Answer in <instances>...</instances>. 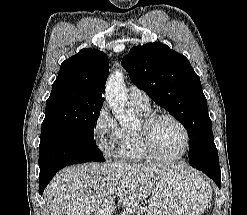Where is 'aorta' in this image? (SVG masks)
<instances>
[{
	"label": "aorta",
	"mask_w": 247,
	"mask_h": 215,
	"mask_svg": "<svg viewBox=\"0 0 247 215\" xmlns=\"http://www.w3.org/2000/svg\"><path fill=\"white\" fill-rule=\"evenodd\" d=\"M105 97L109 108L122 126H127L133 117L126 113L127 90L124 84L123 71L111 74L105 87Z\"/></svg>",
	"instance_id": "aorta-1"
}]
</instances>
